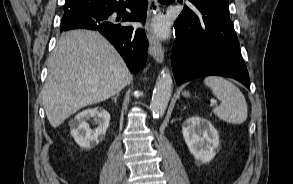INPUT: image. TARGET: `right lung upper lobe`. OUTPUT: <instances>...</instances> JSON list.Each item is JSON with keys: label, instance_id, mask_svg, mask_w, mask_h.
Listing matches in <instances>:
<instances>
[{"label": "right lung upper lobe", "instance_id": "cb5924a9", "mask_svg": "<svg viewBox=\"0 0 293 184\" xmlns=\"http://www.w3.org/2000/svg\"><path fill=\"white\" fill-rule=\"evenodd\" d=\"M95 1V0H66V6L64 8V12H68L69 10L81 8L82 6Z\"/></svg>", "mask_w": 293, "mask_h": 184}]
</instances>
